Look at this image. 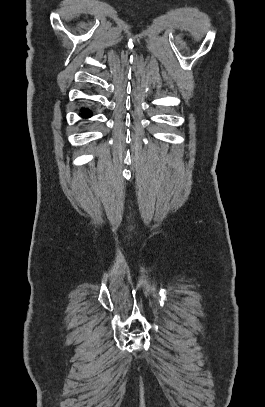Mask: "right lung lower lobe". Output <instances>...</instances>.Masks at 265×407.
Returning <instances> with one entry per match:
<instances>
[{"instance_id":"right-lung-lower-lobe-1","label":"right lung lower lobe","mask_w":265,"mask_h":407,"mask_svg":"<svg viewBox=\"0 0 265 407\" xmlns=\"http://www.w3.org/2000/svg\"><path fill=\"white\" fill-rule=\"evenodd\" d=\"M81 116L84 117V118H88V117L92 116V113H91L90 110L82 109L81 110Z\"/></svg>"}]
</instances>
